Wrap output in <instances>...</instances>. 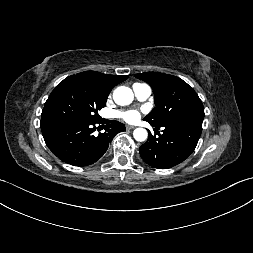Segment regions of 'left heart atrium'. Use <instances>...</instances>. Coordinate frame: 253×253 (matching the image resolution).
Returning a JSON list of instances; mask_svg holds the SVG:
<instances>
[{
  "mask_svg": "<svg viewBox=\"0 0 253 253\" xmlns=\"http://www.w3.org/2000/svg\"><path fill=\"white\" fill-rule=\"evenodd\" d=\"M116 116L126 122H136L140 118L141 113L139 110L131 109L119 111Z\"/></svg>",
  "mask_w": 253,
  "mask_h": 253,
  "instance_id": "39dd6f15",
  "label": "left heart atrium"
}]
</instances>
